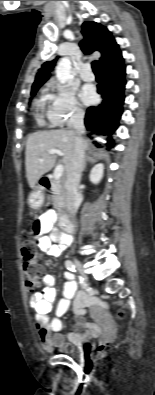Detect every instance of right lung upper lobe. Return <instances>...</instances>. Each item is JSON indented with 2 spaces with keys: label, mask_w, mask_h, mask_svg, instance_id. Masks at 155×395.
<instances>
[{
  "label": "right lung upper lobe",
  "mask_w": 155,
  "mask_h": 395,
  "mask_svg": "<svg viewBox=\"0 0 155 395\" xmlns=\"http://www.w3.org/2000/svg\"><path fill=\"white\" fill-rule=\"evenodd\" d=\"M82 29L85 41L80 44V47L85 54H91L94 51L101 53L98 61L100 68L123 59L118 44L106 27L96 22H84ZM57 59L58 57L52 61L45 62L38 70L35 82L32 85L31 94L36 93L39 87L48 79L49 72L53 69Z\"/></svg>",
  "instance_id": "obj_1"
}]
</instances>
